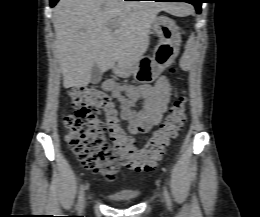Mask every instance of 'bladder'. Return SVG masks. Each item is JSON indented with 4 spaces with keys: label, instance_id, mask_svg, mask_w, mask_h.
Here are the masks:
<instances>
[{
    "label": "bladder",
    "instance_id": "obj_1",
    "mask_svg": "<svg viewBox=\"0 0 260 217\" xmlns=\"http://www.w3.org/2000/svg\"><path fill=\"white\" fill-rule=\"evenodd\" d=\"M137 198H138V194L128 193V194L112 195L109 197V200L115 204H129L134 202Z\"/></svg>",
    "mask_w": 260,
    "mask_h": 217
}]
</instances>
